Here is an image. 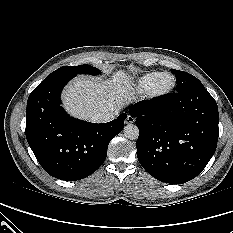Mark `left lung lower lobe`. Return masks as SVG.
Masks as SVG:
<instances>
[{
    "label": "left lung lower lobe",
    "mask_w": 233,
    "mask_h": 233,
    "mask_svg": "<svg viewBox=\"0 0 233 233\" xmlns=\"http://www.w3.org/2000/svg\"><path fill=\"white\" fill-rule=\"evenodd\" d=\"M129 113L139 128L138 160L162 182L192 180L215 153L218 107L204 86L140 101Z\"/></svg>",
    "instance_id": "obj_1"
}]
</instances>
